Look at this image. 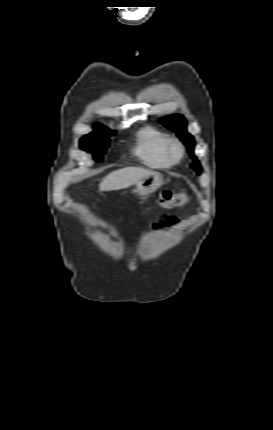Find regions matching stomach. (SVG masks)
I'll list each match as a JSON object with an SVG mask.
<instances>
[{"label":"stomach","instance_id":"stomach-1","mask_svg":"<svg viewBox=\"0 0 273 430\" xmlns=\"http://www.w3.org/2000/svg\"><path fill=\"white\" fill-rule=\"evenodd\" d=\"M162 184V175L160 173L153 172L144 176L136 183V191L141 196H147L155 192Z\"/></svg>","mask_w":273,"mask_h":430}]
</instances>
